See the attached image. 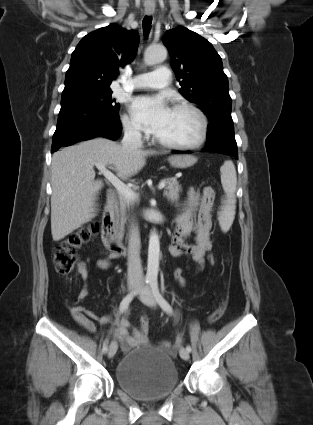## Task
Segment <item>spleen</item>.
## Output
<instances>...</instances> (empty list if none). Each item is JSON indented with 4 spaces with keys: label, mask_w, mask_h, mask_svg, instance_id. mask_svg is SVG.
Masks as SVG:
<instances>
[{
    "label": "spleen",
    "mask_w": 313,
    "mask_h": 425,
    "mask_svg": "<svg viewBox=\"0 0 313 425\" xmlns=\"http://www.w3.org/2000/svg\"><path fill=\"white\" fill-rule=\"evenodd\" d=\"M220 172L222 187L226 194V201L224 207L219 212L218 220L222 231L227 232L235 218L237 175L235 166L231 160L224 162L220 168Z\"/></svg>",
    "instance_id": "obj_1"
}]
</instances>
